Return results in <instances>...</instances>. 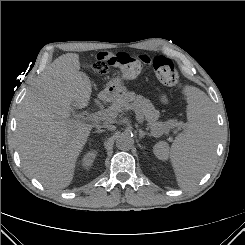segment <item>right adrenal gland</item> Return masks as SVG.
I'll return each mask as SVG.
<instances>
[{"instance_id": "1", "label": "right adrenal gland", "mask_w": 245, "mask_h": 245, "mask_svg": "<svg viewBox=\"0 0 245 245\" xmlns=\"http://www.w3.org/2000/svg\"><path fill=\"white\" fill-rule=\"evenodd\" d=\"M95 132H97V133H102V132H104V130L98 129V130H96Z\"/></svg>"}]
</instances>
